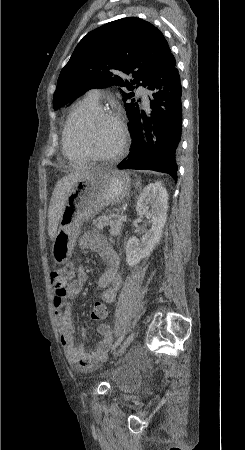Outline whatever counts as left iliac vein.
I'll list each match as a JSON object with an SVG mask.
<instances>
[{"label": "left iliac vein", "mask_w": 245, "mask_h": 450, "mask_svg": "<svg viewBox=\"0 0 245 450\" xmlns=\"http://www.w3.org/2000/svg\"><path fill=\"white\" fill-rule=\"evenodd\" d=\"M136 335V332L133 331L132 333L129 334V336L124 340V342L121 344L119 350L115 353V358L119 357L120 355H122L124 353V351L127 349V347L131 344V342L133 341L134 337Z\"/></svg>", "instance_id": "4c4485c4"}]
</instances>
